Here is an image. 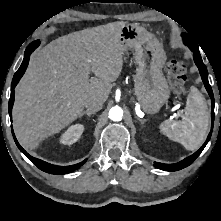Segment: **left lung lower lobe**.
Segmentation results:
<instances>
[{
  "mask_svg": "<svg viewBox=\"0 0 221 221\" xmlns=\"http://www.w3.org/2000/svg\"><path fill=\"white\" fill-rule=\"evenodd\" d=\"M194 53V61L197 65V67L199 68L200 74H201V78L204 82V85L206 87V90L208 91L210 97H211V102H212V128H213V121H214V97H213V92L211 89V86L208 82V71L206 66L204 65V63L202 62V58L200 56L199 53L193 52ZM212 134V129L210 134L207 137L206 142L203 144V146L197 151L195 152L193 155L185 158L184 160L180 161L179 163H175V164H163V163H158V162H154V166L161 169V170H165V171H178L180 169H183L187 166H189L202 152V150L204 149V147L206 146V144L208 143L210 137Z\"/></svg>",
  "mask_w": 221,
  "mask_h": 221,
  "instance_id": "0a47b994",
  "label": "left lung lower lobe"
}]
</instances>
